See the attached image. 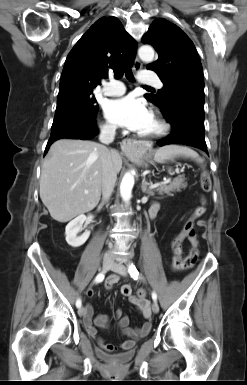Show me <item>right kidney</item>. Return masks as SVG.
Here are the masks:
<instances>
[{"label": "right kidney", "instance_id": "1", "mask_svg": "<svg viewBox=\"0 0 247 385\" xmlns=\"http://www.w3.org/2000/svg\"><path fill=\"white\" fill-rule=\"evenodd\" d=\"M88 218L81 214L73 219L65 228L66 242L73 248L83 245L90 236V231H85L81 236L77 237L78 232L81 230L83 223Z\"/></svg>", "mask_w": 247, "mask_h": 385}]
</instances>
